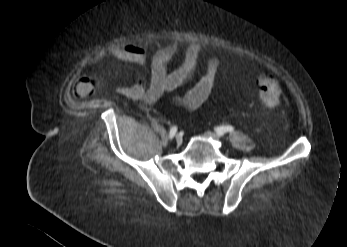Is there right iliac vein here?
Returning <instances> with one entry per match:
<instances>
[{
    "label": "right iliac vein",
    "mask_w": 347,
    "mask_h": 247,
    "mask_svg": "<svg viewBox=\"0 0 347 247\" xmlns=\"http://www.w3.org/2000/svg\"><path fill=\"white\" fill-rule=\"evenodd\" d=\"M175 139H176L177 144H181L182 143L183 139H182V136L180 134H177Z\"/></svg>",
    "instance_id": "right-iliac-vein-1"
}]
</instances>
